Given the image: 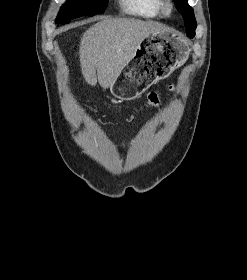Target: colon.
<instances>
[{"instance_id":"colon-1","label":"colon","mask_w":247,"mask_h":280,"mask_svg":"<svg viewBox=\"0 0 247 280\" xmlns=\"http://www.w3.org/2000/svg\"><path fill=\"white\" fill-rule=\"evenodd\" d=\"M161 102V96L157 92H151L149 93L147 97V102L145 104L146 108H155L160 105ZM138 111H142V108H139Z\"/></svg>"}]
</instances>
